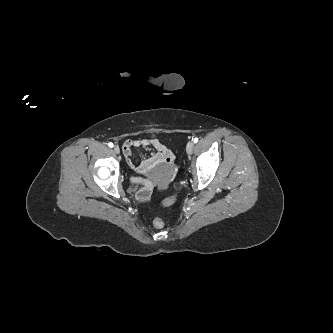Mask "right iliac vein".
<instances>
[{"instance_id":"obj_1","label":"right iliac vein","mask_w":333,"mask_h":333,"mask_svg":"<svg viewBox=\"0 0 333 333\" xmlns=\"http://www.w3.org/2000/svg\"><path fill=\"white\" fill-rule=\"evenodd\" d=\"M113 150H114V152H115L116 154H119V153H120V149H119L118 146H114Z\"/></svg>"}]
</instances>
